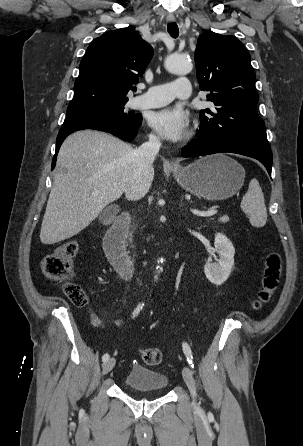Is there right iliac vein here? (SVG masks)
<instances>
[{"label": "right iliac vein", "instance_id": "63e3f726", "mask_svg": "<svg viewBox=\"0 0 303 446\" xmlns=\"http://www.w3.org/2000/svg\"><path fill=\"white\" fill-rule=\"evenodd\" d=\"M114 365H115V359L114 358H110L106 362H104L103 365H102V373H103V375H105L108 372H110L113 369Z\"/></svg>", "mask_w": 303, "mask_h": 446}]
</instances>
